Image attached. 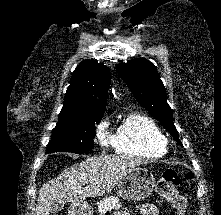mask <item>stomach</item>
Here are the masks:
<instances>
[{
	"label": "stomach",
	"instance_id": "1",
	"mask_svg": "<svg viewBox=\"0 0 221 215\" xmlns=\"http://www.w3.org/2000/svg\"><path fill=\"white\" fill-rule=\"evenodd\" d=\"M155 179L146 168H134L119 183L117 194L127 201H140L153 191ZM91 208L85 203H76L71 207V215H91Z\"/></svg>",
	"mask_w": 221,
	"mask_h": 215
}]
</instances>
